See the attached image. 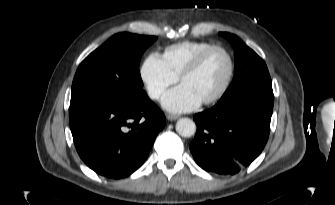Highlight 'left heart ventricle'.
<instances>
[{
  "mask_svg": "<svg viewBox=\"0 0 335 205\" xmlns=\"http://www.w3.org/2000/svg\"><path fill=\"white\" fill-rule=\"evenodd\" d=\"M229 71V62L221 51L211 52L201 67L186 77L182 84L187 86L201 101L213 96L224 83Z\"/></svg>",
  "mask_w": 335,
  "mask_h": 205,
  "instance_id": "b2bd125f",
  "label": "left heart ventricle"
}]
</instances>
